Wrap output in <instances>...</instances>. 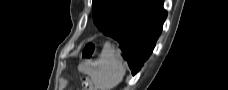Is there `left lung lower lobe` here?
<instances>
[{"label":"left lung lower lobe","instance_id":"obj_1","mask_svg":"<svg viewBox=\"0 0 228 90\" xmlns=\"http://www.w3.org/2000/svg\"><path fill=\"white\" fill-rule=\"evenodd\" d=\"M166 16L163 0H133L131 9L103 31L120 44L133 75L151 55Z\"/></svg>","mask_w":228,"mask_h":90}]
</instances>
